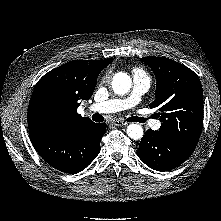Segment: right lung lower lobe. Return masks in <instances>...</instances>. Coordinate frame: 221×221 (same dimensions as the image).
<instances>
[{
  "label": "right lung lower lobe",
  "mask_w": 221,
  "mask_h": 221,
  "mask_svg": "<svg viewBox=\"0 0 221 221\" xmlns=\"http://www.w3.org/2000/svg\"><path fill=\"white\" fill-rule=\"evenodd\" d=\"M105 123H84L57 133L31 132V141L39 155L55 169L77 173L99 154Z\"/></svg>",
  "instance_id": "1"
}]
</instances>
